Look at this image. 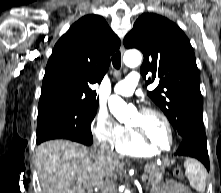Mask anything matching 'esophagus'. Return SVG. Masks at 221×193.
Returning a JSON list of instances; mask_svg holds the SVG:
<instances>
[{"instance_id":"esophagus-1","label":"esophagus","mask_w":221,"mask_h":193,"mask_svg":"<svg viewBox=\"0 0 221 193\" xmlns=\"http://www.w3.org/2000/svg\"><path fill=\"white\" fill-rule=\"evenodd\" d=\"M124 51H125L124 45H123V44H121V46H120V52H121V54H123V53H124Z\"/></svg>"}]
</instances>
